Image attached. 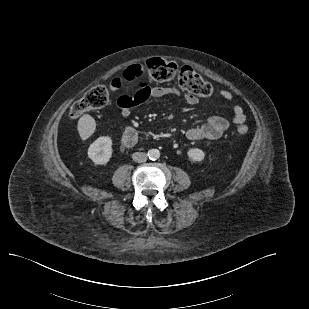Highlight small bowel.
Returning a JSON list of instances; mask_svg holds the SVG:
<instances>
[{"mask_svg":"<svg viewBox=\"0 0 309 309\" xmlns=\"http://www.w3.org/2000/svg\"><path fill=\"white\" fill-rule=\"evenodd\" d=\"M133 66L140 67L139 76H142L147 72L144 64H136ZM128 68L111 79V91L115 92L135 79L129 74ZM180 95V91L176 88L149 86L146 83H142L134 94L120 96L117 100V105L121 111V115L126 118L130 115L131 110L134 107L145 103L151 98H163L167 96L179 97ZM220 96L227 102H232L233 100V96L228 90H221ZM184 99L190 105H196L198 103V98L192 94H184ZM232 109L233 122L237 125L243 124L246 120L243 108L239 104L234 103ZM228 127L229 121L226 118L221 116H211L202 125L190 128L187 131L186 136L189 140L193 141L202 139L215 140L220 138ZM137 141L138 134L136 129L132 126L125 127L122 135L123 145L125 147H132Z\"/></svg>","mask_w":309,"mask_h":309,"instance_id":"c3829d8e","label":"small bowel"}]
</instances>
